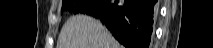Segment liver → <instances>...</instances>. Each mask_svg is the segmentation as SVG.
Returning a JSON list of instances; mask_svg holds the SVG:
<instances>
[{"instance_id": "liver-1", "label": "liver", "mask_w": 213, "mask_h": 48, "mask_svg": "<svg viewBox=\"0 0 213 48\" xmlns=\"http://www.w3.org/2000/svg\"><path fill=\"white\" fill-rule=\"evenodd\" d=\"M56 48H123L93 17L75 15L63 25Z\"/></svg>"}]
</instances>
